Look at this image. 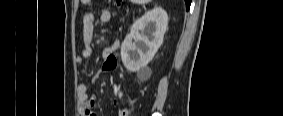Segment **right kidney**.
I'll return each instance as SVG.
<instances>
[{"mask_svg": "<svg viewBox=\"0 0 283 116\" xmlns=\"http://www.w3.org/2000/svg\"><path fill=\"white\" fill-rule=\"evenodd\" d=\"M168 15L156 7L136 20L121 46V59L130 72H138L153 59L163 42Z\"/></svg>", "mask_w": 283, "mask_h": 116, "instance_id": "obj_1", "label": "right kidney"}]
</instances>
